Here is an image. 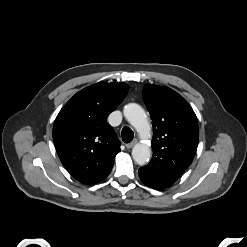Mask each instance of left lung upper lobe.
Instances as JSON below:
<instances>
[{"mask_svg":"<svg viewBox=\"0 0 247 247\" xmlns=\"http://www.w3.org/2000/svg\"><path fill=\"white\" fill-rule=\"evenodd\" d=\"M142 96L152 119L154 153L139 170L170 187L193 161L199 140L197 117L168 87L146 84Z\"/></svg>","mask_w":247,"mask_h":247,"instance_id":"1","label":"left lung upper lobe"}]
</instances>
